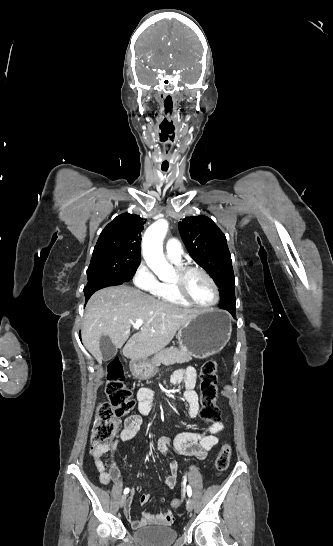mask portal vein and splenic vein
<instances>
[{"instance_id":"portal-vein-and-splenic-vein-1","label":"portal vein and splenic vein","mask_w":333,"mask_h":546,"mask_svg":"<svg viewBox=\"0 0 333 546\" xmlns=\"http://www.w3.org/2000/svg\"><path fill=\"white\" fill-rule=\"evenodd\" d=\"M144 321L142 319L136 320V322L133 323V327L135 329H139L143 325Z\"/></svg>"}]
</instances>
